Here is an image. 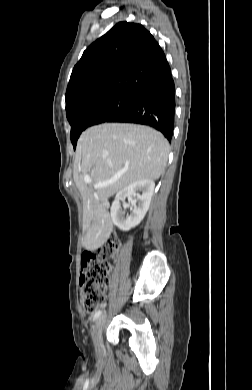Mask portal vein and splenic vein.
I'll return each mask as SVG.
<instances>
[{"label":"portal vein and splenic vein","mask_w":252,"mask_h":390,"mask_svg":"<svg viewBox=\"0 0 252 390\" xmlns=\"http://www.w3.org/2000/svg\"><path fill=\"white\" fill-rule=\"evenodd\" d=\"M117 177L112 179V180H109L107 182H101V183H97L94 185V187L97 189V188H102V187H106L112 183H114L116 181ZM84 181L87 182V183H90L92 182V178L88 175L84 176Z\"/></svg>","instance_id":"obj_1"}]
</instances>
